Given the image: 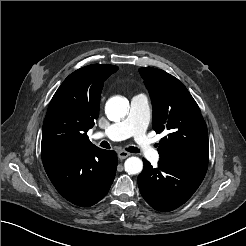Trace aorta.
<instances>
[{"mask_svg":"<svg viewBox=\"0 0 246 246\" xmlns=\"http://www.w3.org/2000/svg\"><path fill=\"white\" fill-rule=\"evenodd\" d=\"M129 111V102L126 98L116 96L109 99L105 106L107 117L112 120L124 118ZM125 171L129 175L139 174L143 169V162L138 157H129L124 163Z\"/></svg>","mask_w":246,"mask_h":246,"instance_id":"762f6f07","label":"aorta"}]
</instances>
